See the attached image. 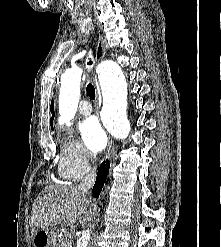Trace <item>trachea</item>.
Listing matches in <instances>:
<instances>
[{"mask_svg":"<svg viewBox=\"0 0 221 247\" xmlns=\"http://www.w3.org/2000/svg\"><path fill=\"white\" fill-rule=\"evenodd\" d=\"M92 63H93V62L90 60L87 64L90 66V65H92ZM86 91H87L88 96H89L92 100H94V99H95V88H94V86H93L91 83H89V84L87 85Z\"/></svg>","mask_w":221,"mask_h":247,"instance_id":"trachea-1","label":"trachea"}]
</instances>
